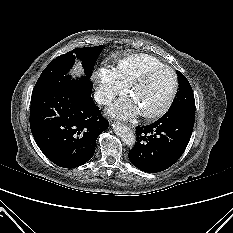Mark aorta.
I'll return each instance as SVG.
<instances>
[{
  "label": "aorta",
  "mask_w": 233,
  "mask_h": 233,
  "mask_svg": "<svg viewBox=\"0 0 233 233\" xmlns=\"http://www.w3.org/2000/svg\"><path fill=\"white\" fill-rule=\"evenodd\" d=\"M114 132L121 138L124 144L132 147L136 143V136L134 132L122 123H116L113 125Z\"/></svg>",
  "instance_id": "obj_1"
}]
</instances>
